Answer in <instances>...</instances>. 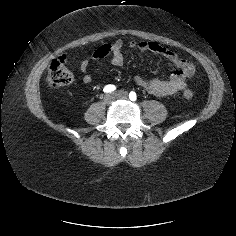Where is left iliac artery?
Wrapping results in <instances>:
<instances>
[{
    "label": "left iliac artery",
    "mask_w": 236,
    "mask_h": 236,
    "mask_svg": "<svg viewBox=\"0 0 236 236\" xmlns=\"http://www.w3.org/2000/svg\"><path fill=\"white\" fill-rule=\"evenodd\" d=\"M129 98H130V100H132V101H136V100H137V95H136V93H135L134 91H131V92L129 93Z\"/></svg>",
    "instance_id": "left-iliac-artery-1"
}]
</instances>
